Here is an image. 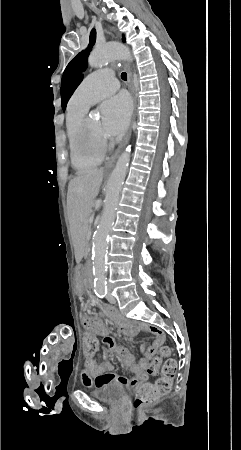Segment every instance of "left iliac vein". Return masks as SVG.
<instances>
[{
	"label": "left iliac vein",
	"mask_w": 241,
	"mask_h": 450,
	"mask_svg": "<svg viewBox=\"0 0 241 450\" xmlns=\"http://www.w3.org/2000/svg\"><path fill=\"white\" fill-rule=\"evenodd\" d=\"M107 299L110 303H115L116 301L115 297L110 293V291L107 294Z\"/></svg>",
	"instance_id": "4c4485c4"
}]
</instances>
